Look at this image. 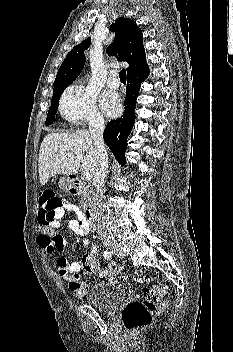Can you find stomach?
Listing matches in <instances>:
<instances>
[{
  "label": "stomach",
  "instance_id": "0dacf381",
  "mask_svg": "<svg viewBox=\"0 0 233 352\" xmlns=\"http://www.w3.org/2000/svg\"><path fill=\"white\" fill-rule=\"evenodd\" d=\"M59 187L65 191H69L70 189V181L66 177H62L59 181Z\"/></svg>",
  "mask_w": 233,
  "mask_h": 352
}]
</instances>
